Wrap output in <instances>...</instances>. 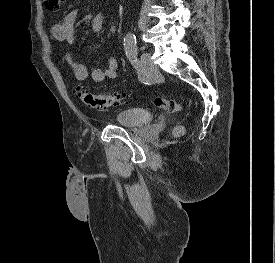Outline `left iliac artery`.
Wrapping results in <instances>:
<instances>
[{
	"label": "left iliac artery",
	"mask_w": 275,
	"mask_h": 263,
	"mask_svg": "<svg viewBox=\"0 0 275 263\" xmlns=\"http://www.w3.org/2000/svg\"><path fill=\"white\" fill-rule=\"evenodd\" d=\"M124 48H125V53L130 60V62L134 65L138 63L137 59V53H138V48H137V41H136V36L134 33H128L126 37L124 38Z\"/></svg>",
	"instance_id": "obj_1"
}]
</instances>
